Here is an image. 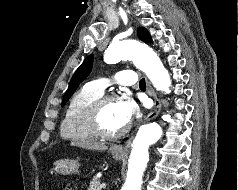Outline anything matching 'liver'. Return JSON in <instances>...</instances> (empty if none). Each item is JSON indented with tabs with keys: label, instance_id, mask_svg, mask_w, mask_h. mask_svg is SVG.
<instances>
[{
	"label": "liver",
	"instance_id": "1",
	"mask_svg": "<svg viewBox=\"0 0 238 190\" xmlns=\"http://www.w3.org/2000/svg\"><path fill=\"white\" fill-rule=\"evenodd\" d=\"M71 146H77L84 149L96 150V151H105L108 147L103 143H98L95 141H72Z\"/></svg>",
	"mask_w": 238,
	"mask_h": 190
}]
</instances>
